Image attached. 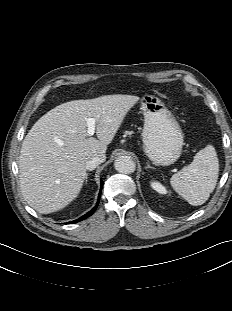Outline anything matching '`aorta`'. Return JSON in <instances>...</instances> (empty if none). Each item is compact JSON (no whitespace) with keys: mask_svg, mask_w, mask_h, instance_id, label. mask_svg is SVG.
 <instances>
[{"mask_svg":"<svg viewBox=\"0 0 232 311\" xmlns=\"http://www.w3.org/2000/svg\"><path fill=\"white\" fill-rule=\"evenodd\" d=\"M116 171L123 174H130L135 171L136 165L128 156H120L114 162Z\"/></svg>","mask_w":232,"mask_h":311,"instance_id":"762f6f07","label":"aorta"}]
</instances>
